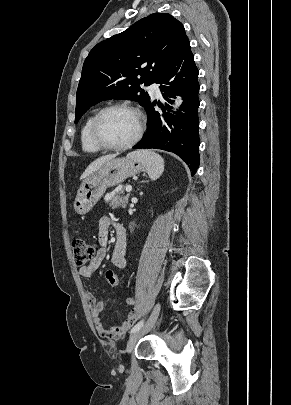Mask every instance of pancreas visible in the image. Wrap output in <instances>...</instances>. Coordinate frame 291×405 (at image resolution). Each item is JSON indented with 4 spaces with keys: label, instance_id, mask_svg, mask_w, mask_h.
Segmentation results:
<instances>
[{
    "label": "pancreas",
    "instance_id": "pancreas-1",
    "mask_svg": "<svg viewBox=\"0 0 291 405\" xmlns=\"http://www.w3.org/2000/svg\"><path fill=\"white\" fill-rule=\"evenodd\" d=\"M129 199V194L124 195V189L119 190L106 199L109 206L112 208L122 207L125 208Z\"/></svg>",
    "mask_w": 291,
    "mask_h": 405
}]
</instances>
